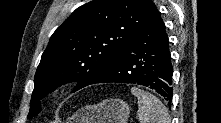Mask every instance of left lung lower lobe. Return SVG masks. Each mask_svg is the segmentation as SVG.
<instances>
[{
    "instance_id": "left-lung-lower-lobe-1",
    "label": "left lung lower lobe",
    "mask_w": 221,
    "mask_h": 123,
    "mask_svg": "<svg viewBox=\"0 0 221 123\" xmlns=\"http://www.w3.org/2000/svg\"><path fill=\"white\" fill-rule=\"evenodd\" d=\"M172 74L168 36L158 11L126 49L88 85L106 82L139 84L155 90L170 105Z\"/></svg>"
}]
</instances>
